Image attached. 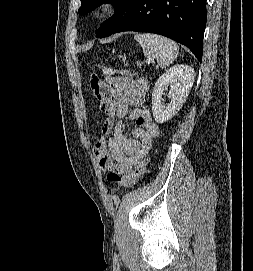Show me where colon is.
Masks as SVG:
<instances>
[{
    "label": "colon",
    "mask_w": 253,
    "mask_h": 271,
    "mask_svg": "<svg viewBox=\"0 0 253 271\" xmlns=\"http://www.w3.org/2000/svg\"><path fill=\"white\" fill-rule=\"evenodd\" d=\"M98 67L105 73L117 71L121 73L122 75H129L128 70L123 69V68H110L104 64H98ZM90 88L93 94L95 96H98L100 94V91L103 88V83L99 78L93 77L90 80ZM147 161H148L147 159L139 161L135 165L134 170L126 175H120L116 172H110L109 175L107 176L108 182L110 184H113L117 188L127 187L136 183L139 180V178L142 176V174L144 173Z\"/></svg>",
    "instance_id": "1"
}]
</instances>
